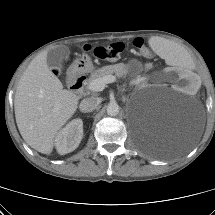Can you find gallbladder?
I'll return each mask as SVG.
<instances>
[{
  "label": "gallbladder",
  "instance_id": "bac80fb5",
  "mask_svg": "<svg viewBox=\"0 0 215 215\" xmlns=\"http://www.w3.org/2000/svg\"><path fill=\"white\" fill-rule=\"evenodd\" d=\"M69 56V49L66 46H60L52 49L47 54V64L48 66L60 72L63 68L65 60Z\"/></svg>",
  "mask_w": 215,
  "mask_h": 215
}]
</instances>
